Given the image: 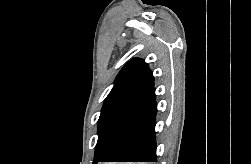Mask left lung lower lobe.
<instances>
[{
    "label": "left lung lower lobe",
    "instance_id": "left-lung-lower-lobe-1",
    "mask_svg": "<svg viewBox=\"0 0 251 164\" xmlns=\"http://www.w3.org/2000/svg\"><path fill=\"white\" fill-rule=\"evenodd\" d=\"M154 86L130 109L114 139L111 154L101 162H156Z\"/></svg>",
    "mask_w": 251,
    "mask_h": 164
}]
</instances>
